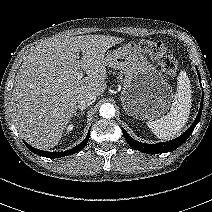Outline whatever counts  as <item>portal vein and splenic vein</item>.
Masks as SVG:
<instances>
[{
    "mask_svg": "<svg viewBox=\"0 0 212 212\" xmlns=\"http://www.w3.org/2000/svg\"><path fill=\"white\" fill-rule=\"evenodd\" d=\"M83 77V72L78 73L77 78L81 79Z\"/></svg>",
    "mask_w": 212,
    "mask_h": 212,
    "instance_id": "obj_1",
    "label": "portal vein and splenic vein"
}]
</instances>
